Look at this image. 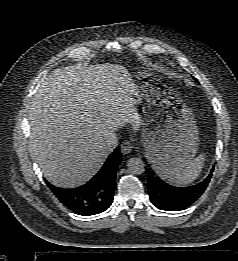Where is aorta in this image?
Returning a JSON list of instances; mask_svg holds the SVG:
<instances>
[{"mask_svg": "<svg viewBox=\"0 0 238 261\" xmlns=\"http://www.w3.org/2000/svg\"><path fill=\"white\" fill-rule=\"evenodd\" d=\"M130 173L140 175L145 171V164L141 158L132 157L127 162Z\"/></svg>", "mask_w": 238, "mask_h": 261, "instance_id": "obj_1", "label": "aorta"}]
</instances>
